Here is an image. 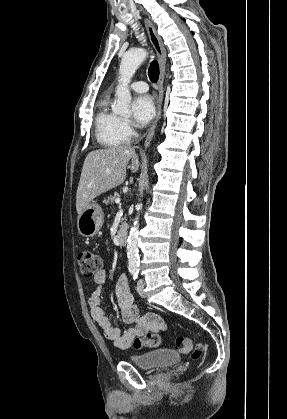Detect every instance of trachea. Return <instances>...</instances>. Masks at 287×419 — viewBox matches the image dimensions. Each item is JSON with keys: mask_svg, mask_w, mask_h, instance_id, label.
I'll return each mask as SVG.
<instances>
[{"mask_svg": "<svg viewBox=\"0 0 287 419\" xmlns=\"http://www.w3.org/2000/svg\"><path fill=\"white\" fill-rule=\"evenodd\" d=\"M148 76L152 82H157L159 78V65L156 60H153L149 69H148Z\"/></svg>", "mask_w": 287, "mask_h": 419, "instance_id": "1", "label": "trachea"}]
</instances>
